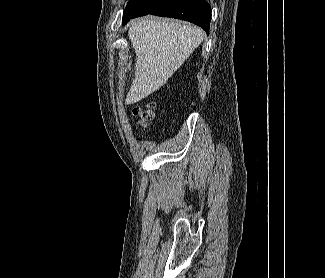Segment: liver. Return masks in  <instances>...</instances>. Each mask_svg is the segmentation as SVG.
I'll return each mask as SVG.
<instances>
[{
	"instance_id": "liver-1",
	"label": "liver",
	"mask_w": 325,
	"mask_h": 278,
	"mask_svg": "<svg viewBox=\"0 0 325 278\" xmlns=\"http://www.w3.org/2000/svg\"><path fill=\"white\" fill-rule=\"evenodd\" d=\"M128 36L136 62L126 104L137 103L163 86L204 38L196 26L152 17L133 23Z\"/></svg>"
}]
</instances>
